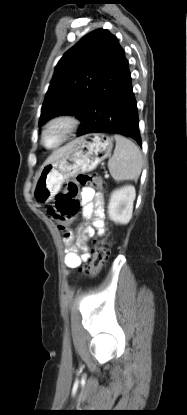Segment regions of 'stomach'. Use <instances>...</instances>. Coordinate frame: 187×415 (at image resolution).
<instances>
[{"instance_id":"obj_1","label":"stomach","mask_w":187,"mask_h":415,"mask_svg":"<svg viewBox=\"0 0 187 415\" xmlns=\"http://www.w3.org/2000/svg\"><path fill=\"white\" fill-rule=\"evenodd\" d=\"M113 138L89 134L69 143V149L57 160L44 164L35 176L32 197L38 204L50 202L62 183L80 172H88L110 156Z\"/></svg>"}]
</instances>
